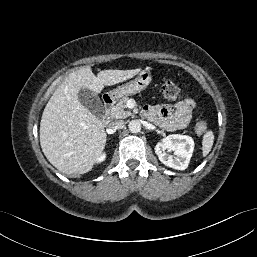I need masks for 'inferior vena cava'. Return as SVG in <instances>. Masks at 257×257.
Returning <instances> with one entry per match:
<instances>
[{
    "mask_svg": "<svg viewBox=\"0 0 257 257\" xmlns=\"http://www.w3.org/2000/svg\"><path fill=\"white\" fill-rule=\"evenodd\" d=\"M122 126H123V122L122 121L117 120V121L111 122L108 125L107 132L109 134H112V133L116 132V130L120 129Z\"/></svg>",
    "mask_w": 257,
    "mask_h": 257,
    "instance_id": "obj_1",
    "label": "inferior vena cava"
}]
</instances>
